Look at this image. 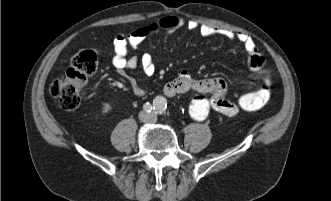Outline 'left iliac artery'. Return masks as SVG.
<instances>
[{"instance_id": "left-iliac-artery-1", "label": "left iliac artery", "mask_w": 331, "mask_h": 201, "mask_svg": "<svg viewBox=\"0 0 331 201\" xmlns=\"http://www.w3.org/2000/svg\"><path fill=\"white\" fill-rule=\"evenodd\" d=\"M166 103L164 101V99L162 98H158V99H155V102H154V109L156 110L157 113H163L166 109Z\"/></svg>"}]
</instances>
